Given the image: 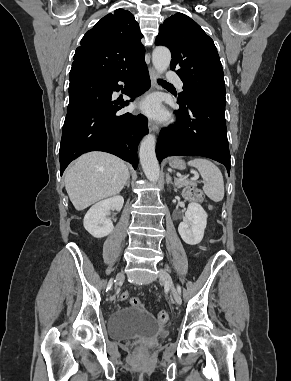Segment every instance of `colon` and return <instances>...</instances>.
<instances>
[{
	"label": "colon",
	"instance_id": "5ec220e1",
	"mask_svg": "<svg viewBox=\"0 0 291 381\" xmlns=\"http://www.w3.org/2000/svg\"><path fill=\"white\" fill-rule=\"evenodd\" d=\"M184 195L188 199H190L192 201H196V200L200 199L201 191L194 186H189V187L185 188ZM120 299L122 301L129 300L130 304L134 307H141L142 306L141 301L137 297H130L127 292L121 293ZM156 319L159 323L164 324L168 321L169 314L166 310H161L156 314Z\"/></svg>",
	"mask_w": 291,
	"mask_h": 381
}]
</instances>
